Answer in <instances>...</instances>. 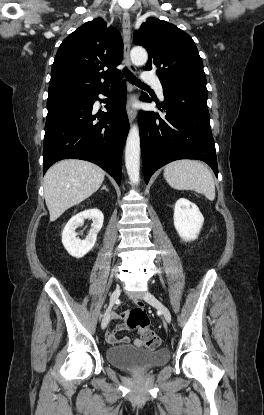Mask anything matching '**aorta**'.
Wrapping results in <instances>:
<instances>
[{"label":"aorta","instance_id":"obj_1","mask_svg":"<svg viewBox=\"0 0 264 415\" xmlns=\"http://www.w3.org/2000/svg\"><path fill=\"white\" fill-rule=\"evenodd\" d=\"M131 60L136 65L145 64L148 60L147 51L142 47H134L130 52ZM125 164L129 179L137 184L140 178V136L137 125L129 131L125 147Z\"/></svg>","mask_w":264,"mask_h":415}]
</instances>
